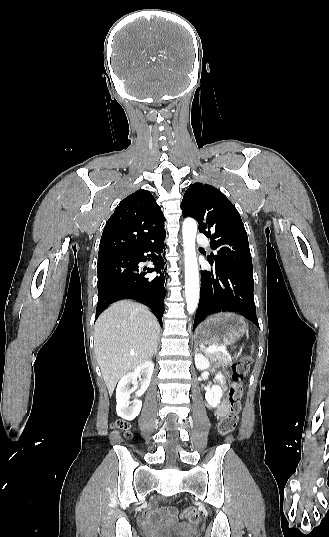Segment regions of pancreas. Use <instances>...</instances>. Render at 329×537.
<instances>
[{
  "label": "pancreas",
  "mask_w": 329,
  "mask_h": 537,
  "mask_svg": "<svg viewBox=\"0 0 329 537\" xmlns=\"http://www.w3.org/2000/svg\"><path fill=\"white\" fill-rule=\"evenodd\" d=\"M206 356L213 363H220L222 365H230L232 362L231 357L223 353L222 351L207 352Z\"/></svg>",
  "instance_id": "cf45deb5"
}]
</instances>
